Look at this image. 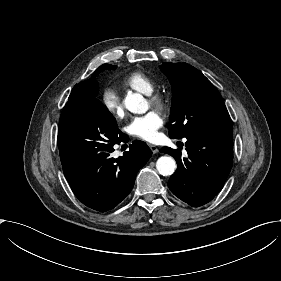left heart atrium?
<instances>
[{
	"instance_id": "obj_1",
	"label": "left heart atrium",
	"mask_w": 281,
	"mask_h": 281,
	"mask_svg": "<svg viewBox=\"0 0 281 281\" xmlns=\"http://www.w3.org/2000/svg\"><path fill=\"white\" fill-rule=\"evenodd\" d=\"M163 117L157 111L134 117L126 126V131L133 137L147 142H155L160 138L159 130L163 127Z\"/></svg>"
}]
</instances>
